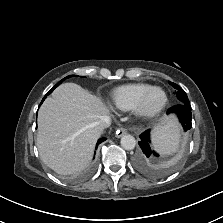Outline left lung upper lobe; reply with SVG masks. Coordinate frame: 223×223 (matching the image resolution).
<instances>
[{
    "label": "left lung upper lobe",
    "instance_id": "left-lung-upper-lobe-1",
    "mask_svg": "<svg viewBox=\"0 0 223 223\" xmlns=\"http://www.w3.org/2000/svg\"><path fill=\"white\" fill-rule=\"evenodd\" d=\"M169 83L176 89V96L181 102V104H186V105L190 104L185 91L182 88H180L177 84L172 83V82H169Z\"/></svg>",
    "mask_w": 223,
    "mask_h": 223
}]
</instances>
